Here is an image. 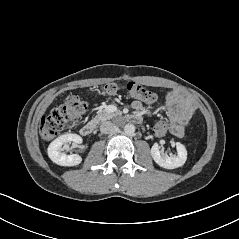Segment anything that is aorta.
<instances>
[{"mask_svg": "<svg viewBox=\"0 0 239 239\" xmlns=\"http://www.w3.org/2000/svg\"><path fill=\"white\" fill-rule=\"evenodd\" d=\"M124 132L127 135H132L135 132V126L133 124H126L124 126Z\"/></svg>", "mask_w": 239, "mask_h": 239, "instance_id": "1", "label": "aorta"}]
</instances>
